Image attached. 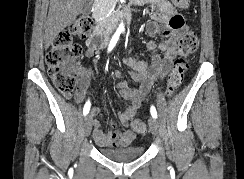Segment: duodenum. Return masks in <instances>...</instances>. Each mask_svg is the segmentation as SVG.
<instances>
[{
	"label": "duodenum",
	"instance_id": "1",
	"mask_svg": "<svg viewBox=\"0 0 244 179\" xmlns=\"http://www.w3.org/2000/svg\"><path fill=\"white\" fill-rule=\"evenodd\" d=\"M131 13H132L131 9H126L124 12V16L125 17L129 16V15H131ZM123 17H122L121 21L123 20ZM118 23H119V20H117L114 25H118ZM109 40H110V32L108 31V27L104 28L103 23L101 22V19L99 18L97 21V29H96L95 33L90 36L89 43L96 48H102L108 43Z\"/></svg>",
	"mask_w": 244,
	"mask_h": 179
}]
</instances>
